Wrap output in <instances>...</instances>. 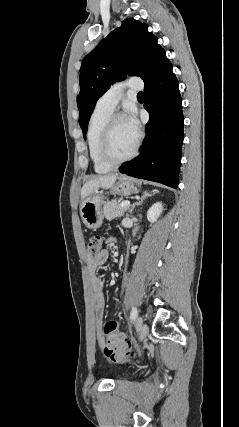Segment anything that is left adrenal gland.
<instances>
[{
    "label": "left adrenal gland",
    "instance_id": "a2214340",
    "mask_svg": "<svg viewBox=\"0 0 239 427\" xmlns=\"http://www.w3.org/2000/svg\"><path fill=\"white\" fill-rule=\"evenodd\" d=\"M155 192H156V190H154V191H153V194H150L149 192L145 191V192L142 194V196H141V198L139 199V201H138V202H135V203L131 206L129 213H130V214H132V212H133V210H134L135 206H139V205H141V204L143 203V201H144L146 198H148V197H150V196L154 195V194H155Z\"/></svg>",
    "mask_w": 239,
    "mask_h": 427
}]
</instances>
